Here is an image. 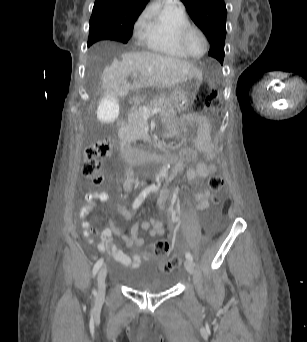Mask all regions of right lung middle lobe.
Returning <instances> with one entry per match:
<instances>
[{
    "mask_svg": "<svg viewBox=\"0 0 307 342\" xmlns=\"http://www.w3.org/2000/svg\"><path fill=\"white\" fill-rule=\"evenodd\" d=\"M132 32H120V31H109L101 28H95L90 26L89 30V38H88V47L93 43L103 40L110 39L116 40L123 43H127L131 37Z\"/></svg>",
    "mask_w": 307,
    "mask_h": 342,
    "instance_id": "1",
    "label": "right lung middle lobe"
}]
</instances>
